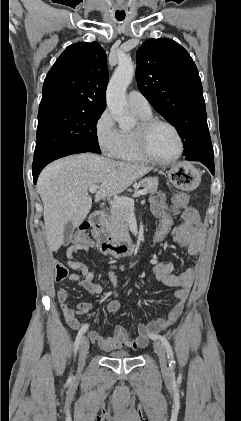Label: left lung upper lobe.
I'll use <instances>...</instances> for the list:
<instances>
[{"label":"left lung upper lobe","instance_id":"obj_1","mask_svg":"<svg viewBox=\"0 0 241 421\" xmlns=\"http://www.w3.org/2000/svg\"><path fill=\"white\" fill-rule=\"evenodd\" d=\"M136 78L145 98L178 130L186 159L213 158L201 79L188 52L171 39H148L137 51Z\"/></svg>","mask_w":241,"mask_h":421}]
</instances>
